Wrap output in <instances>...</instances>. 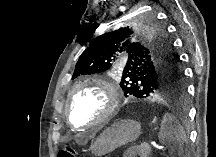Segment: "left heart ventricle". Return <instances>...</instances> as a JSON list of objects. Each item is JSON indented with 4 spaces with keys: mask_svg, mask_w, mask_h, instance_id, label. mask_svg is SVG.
I'll return each instance as SVG.
<instances>
[{
    "mask_svg": "<svg viewBox=\"0 0 216 157\" xmlns=\"http://www.w3.org/2000/svg\"><path fill=\"white\" fill-rule=\"evenodd\" d=\"M107 98L98 88L85 87L75 92L70 112L78 125L92 122L106 107Z\"/></svg>",
    "mask_w": 216,
    "mask_h": 157,
    "instance_id": "left-heart-ventricle-1",
    "label": "left heart ventricle"
}]
</instances>
